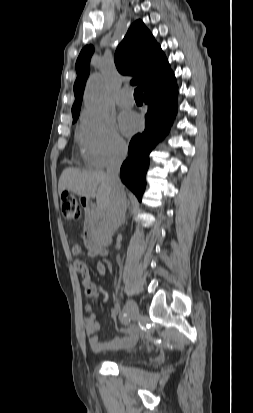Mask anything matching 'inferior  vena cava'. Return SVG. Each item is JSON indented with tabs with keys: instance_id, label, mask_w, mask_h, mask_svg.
<instances>
[{
	"instance_id": "inferior-vena-cava-1",
	"label": "inferior vena cava",
	"mask_w": 253,
	"mask_h": 413,
	"mask_svg": "<svg viewBox=\"0 0 253 413\" xmlns=\"http://www.w3.org/2000/svg\"><path fill=\"white\" fill-rule=\"evenodd\" d=\"M126 156L127 147L120 145L115 150L107 166L106 176L113 188V199L99 227V237L105 245L112 243L114 232L125 219L127 202L124 187L119 178V171Z\"/></svg>"
}]
</instances>
